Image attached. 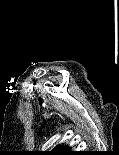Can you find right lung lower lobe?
<instances>
[{"mask_svg":"<svg viewBox=\"0 0 119 155\" xmlns=\"http://www.w3.org/2000/svg\"><path fill=\"white\" fill-rule=\"evenodd\" d=\"M67 155H83L81 151H69Z\"/></svg>","mask_w":119,"mask_h":155,"instance_id":"obj_1","label":"right lung lower lobe"}]
</instances>
